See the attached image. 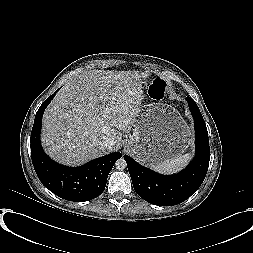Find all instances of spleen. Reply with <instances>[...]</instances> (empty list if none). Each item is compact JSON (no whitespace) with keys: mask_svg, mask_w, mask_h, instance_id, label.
<instances>
[{"mask_svg":"<svg viewBox=\"0 0 253 253\" xmlns=\"http://www.w3.org/2000/svg\"><path fill=\"white\" fill-rule=\"evenodd\" d=\"M190 159L191 154L187 153L176 158L162 161L155 166H152V168L161 173H174L182 169Z\"/></svg>","mask_w":253,"mask_h":253,"instance_id":"3e777b00","label":"spleen"}]
</instances>
